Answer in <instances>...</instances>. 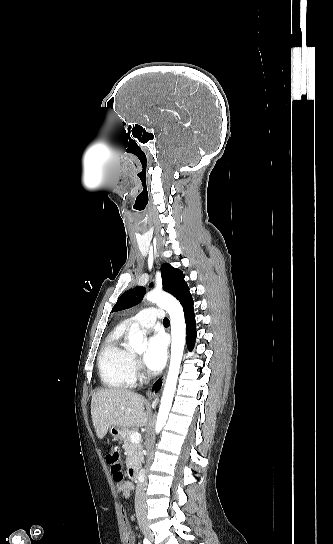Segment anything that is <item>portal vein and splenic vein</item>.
<instances>
[{"label":"portal vein and splenic vein","mask_w":333,"mask_h":544,"mask_svg":"<svg viewBox=\"0 0 333 544\" xmlns=\"http://www.w3.org/2000/svg\"><path fill=\"white\" fill-rule=\"evenodd\" d=\"M141 439V434L139 432H134L130 436V441L132 443H138Z\"/></svg>","instance_id":"obj_1"}]
</instances>
